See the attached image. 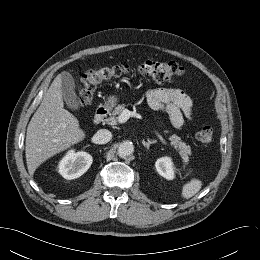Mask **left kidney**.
Returning a JSON list of instances; mask_svg holds the SVG:
<instances>
[{
	"label": "left kidney",
	"mask_w": 260,
	"mask_h": 260,
	"mask_svg": "<svg viewBox=\"0 0 260 260\" xmlns=\"http://www.w3.org/2000/svg\"><path fill=\"white\" fill-rule=\"evenodd\" d=\"M157 172L164 178L172 180L174 178L173 164L170 158L162 157L155 163Z\"/></svg>",
	"instance_id": "1"
}]
</instances>
